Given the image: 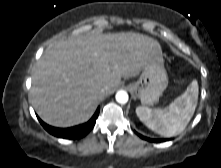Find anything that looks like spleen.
I'll list each match as a JSON object with an SVG mask.
<instances>
[{
  "instance_id": "spleen-1",
  "label": "spleen",
  "mask_w": 221,
  "mask_h": 168,
  "mask_svg": "<svg viewBox=\"0 0 221 168\" xmlns=\"http://www.w3.org/2000/svg\"><path fill=\"white\" fill-rule=\"evenodd\" d=\"M198 83L193 80L186 91L164 109L137 107L136 114L149 129L164 137L181 133L191 120L198 100Z\"/></svg>"
}]
</instances>
